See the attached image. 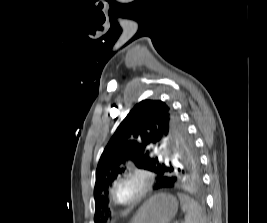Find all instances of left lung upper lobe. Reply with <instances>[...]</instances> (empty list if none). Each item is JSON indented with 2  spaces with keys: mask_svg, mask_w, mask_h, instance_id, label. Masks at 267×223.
<instances>
[{
  "mask_svg": "<svg viewBox=\"0 0 267 223\" xmlns=\"http://www.w3.org/2000/svg\"><path fill=\"white\" fill-rule=\"evenodd\" d=\"M161 145L167 155L154 153V147ZM128 160L156 174L200 171L193 140L174 110L162 101H141L120 123L100 157L94 188L96 223L107 219L108 189Z\"/></svg>",
  "mask_w": 267,
  "mask_h": 223,
  "instance_id": "5c2ea615",
  "label": "left lung upper lobe"
}]
</instances>
